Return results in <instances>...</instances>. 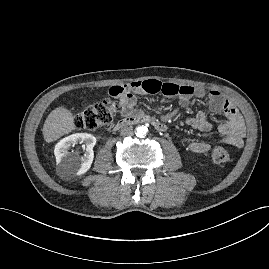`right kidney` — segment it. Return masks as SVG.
I'll return each mask as SVG.
<instances>
[{
    "instance_id": "right-kidney-1",
    "label": "right kidney",
    "mask_w": 269,
    "mask_h": 269,
    "mask_svg": "<svg viewBox=\"0 0 269 269\" xmlns=\"http://www.w3.org/2000/svg\"><path fill=\"white\" fill-rule=\"evenodd\" d=\"M78 142L83 143V148L86 150L84 156H80L78 153L68 152V149ZM95 144L96 138L87 133L72 134L60 140L55 146L54 154L61 173L65 176L86 173L93 162V147Z\"/></svg>"
}]
</instances>
